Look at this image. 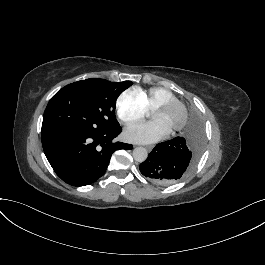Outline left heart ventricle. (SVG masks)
<instances>
[{"label":"left heart ventricle","instance_id":"obj_1","mask_svg":"<svg viewBox=\"0 0 265 265\" xmlns=\"http://www.w3.org/2000/svg\"><path fill=\"white\" fill-rule=\"evenodd\" d=\"M181 109L177 105L170 106L166 109L158 110L152 112L150 117L153 121H157L161 123L166 129H170V127L177 122L180 118Z\"/></svg>","mask_w":265,"mask_h":265}]
</instances>
